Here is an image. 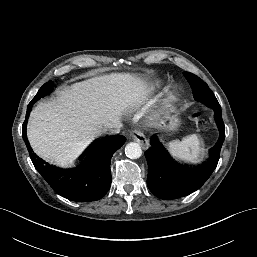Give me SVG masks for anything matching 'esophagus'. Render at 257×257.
Instances as JSON below:
<instances>
[{"mask_svg": "<svg viewBox=\"0 0 257 257\" xmlns=\"http://www.w3.org/2000/svg\"><path fill=\"white\" fill-rule=\"evenodd\" d=\"M131 139L137 142L143 149H147L149 147V142L147 138L140 131H133L130 134Z\"/></svg>", "mask_w": 257, "mask_h": 257, "instance_id": "1", "label": "esophagus"}]
</instances>
